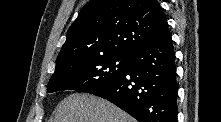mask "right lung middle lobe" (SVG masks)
Masks as SVG:
<instances>
[{
	"label": "right lung middle lobe",
	"mask_w": 221,
	"mask_h": 122,
	"mask_svg": "<svg viewBox=\"0 0 221 122\" xmlns=\"http://www.w3.org/2000/svg\"><path fill=\"white\" fill-rule=\"evenodd\" d=\"M130 59L125 55H107L69 67L51 77L48 93L64 90L91 93L119 77Z\"/></svg>",
	"instance_id": "1"
}]
</instances>
